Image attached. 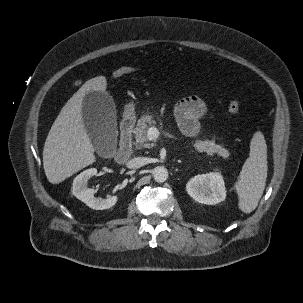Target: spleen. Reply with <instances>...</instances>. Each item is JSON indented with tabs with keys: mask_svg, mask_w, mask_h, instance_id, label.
<instances>
[{
	"mask_svg": "<svg viewBox=\"0 0 303 303\" xmlns=\"http://www.w3.org/2000/svg\"><path fill=\"white\" fill-rule=\"evenodd\" d=\"M267 144L261 131L255 132L250 142L249 158L245 161L235 183L238 206L244 213H251L258 205L266 185Z\"/></svg>",
	"mask_w": 303,
	"mask_h": 303,
	"instance_id": "obj_1",
	"label": "spleen"
}]
</instances>
